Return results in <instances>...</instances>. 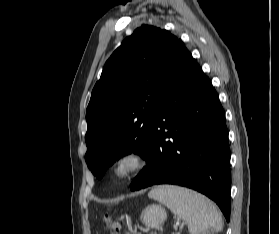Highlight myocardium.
Instances as JSON below:
<instances>
[{"label": "myocardium", "instance_id": "1", "mask_svg": "<svg viewBox=\"0 0 279 234\" xmlns=\"http://www.w3.org/2000/svg\"><path fill=\"white\" fill-rule=\"evenodd\" d=\"M146 164L145 154L137 149L120 153L111 163L110 177L117 182H124L136 175Z\"/></svg>", "mask_w": 279, "mask_h": 234}]
</instances>
